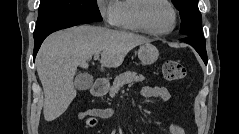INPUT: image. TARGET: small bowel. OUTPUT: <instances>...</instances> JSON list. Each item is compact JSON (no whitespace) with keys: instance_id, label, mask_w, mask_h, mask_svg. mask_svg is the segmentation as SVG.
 Segmentation results:
<instances>
[{"instance_id":"obj_1","label":"small bowel","mask_w":239,"mask_h":134,"mask_svg":"<svg viewBox=\"0 0 239 134\" xmlns=\"http://www.w3.org/2000/svg\"><path fill=\"white\" fill-rule=\"evenodd\" d=\"M141 94L145 98H156L162 101L170 99L171 94L167 87L164 86H145L141 90ZM113 108L96 107L87 111L80 112L78 118L84 120L87 117H95L100 119H107L113 116ZM171 134H184V130L177 124H172L170 127Z\"/></svg>"}]
</instances>
